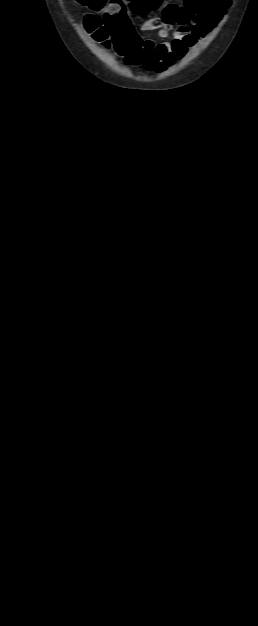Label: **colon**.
Wrapping results in <instances>:
<instances>
[{"mask_svg": "<svg viewBox=\"0 0 258 626\" xmlns=\"http://www.w3.org/2000/svg\"><path fill=\"white\" fill-rule=\"evenodd\" d=\"M130 5L139 11H147L155 9L160 0H128ZM81 5L88 6L95 10H103L109 5V0H77ZM84 25L89 33H92L96 39H101L103 33L100 30H96L101 25V19L96 15H87L84 20Z\"/></svg>", "mask_w": 258, "mask_h": 626, "instance_id": "colon-1", "label": "colon"}]
</instances>
